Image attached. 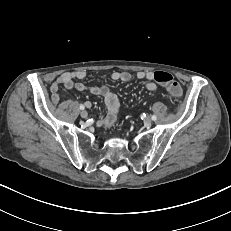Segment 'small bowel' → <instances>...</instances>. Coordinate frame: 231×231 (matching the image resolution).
Instances as JSON below:
<instances>
[{"label":"small bowel","instance_id":"obj_1","mask_svg":"<svg viewBox=\"0 0 231 231\" xmlns=\"http://www.w3.org/2000/svg\"><path fill=\"white\" fill-rule=\"evenodd\" d=\"M87 77V72L84 70H78L73 72H65L61 74L51 85L52 101L58 103L60 101L59 88L63 86L65 89L88 91L93 95L100 96L104 99V103L107 109L106 115L98 121L99 126L110 127L115 122L120 110V102L116 94H114L109 87L105 85L100 86H87L78 82L84 80ZM136 77L140 80H145V88L149 92H156L157 85L153 79V72L151 71H139ZM111 78L115 81L129 82L132 79V75L126 71H115L111 74ZM69 100L62 103V107L66 108L69 104ZM87 107L91 106L90 102L85 103Z\"/></svg>","mask_w":231,"mask_h":231}]
</instances>
